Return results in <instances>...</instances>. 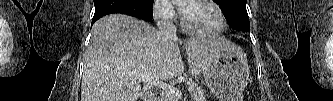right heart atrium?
Wrapping results in <instances>:
<instances>
[{"label":"right heart atrium","instance_id":"right-heart-atrium-1","mask_svg":"<svg viewBox=\"0 0 333 101\" xmlns=\"http://www.w3.org/2000/svg\"><path fill=\"white\" fill-rule=\"evenodd\" d=\"M153 16L160 24L171 23L176 16L174 6L168 0H156L153 8Z\"/></svg>","mask_w":333,"mask_h":101}]
</instances>
